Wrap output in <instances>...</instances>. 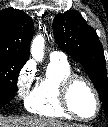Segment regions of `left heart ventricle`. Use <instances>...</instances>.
<instances>
[{
    "label": "left heart ventricle",
    "instance_id": "obj_1",
    "mask_svg": "<svg viewBox=\"0 0 108 127\" xmlns=\"http://www.w3.org/2000/svg\"><path fill=\"white\" fill-rule=\"evenodd\" d=\"M71 104L75 111L81 116H91L96 107L92 91L82 82L75 84L71 91Z\"/></svg>",
    "mask_w": 108,
    "mask_h": 127
}]
</instances>
